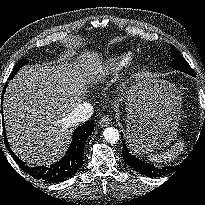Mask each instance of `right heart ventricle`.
<instances>
[{
	"instance_id": "obj_1",
	"label": "right heart ventricle",
	"mask_w": 205,
	"mask_h": 205,
	"mask_svg": "<svg viewBox=\"0 0 205 205\" xmlns=\"http://www.w3.org/2000/svg\"><path fill=\"white\" fill-rule=\"evenodd\" d=\"M132 57V53H120L112 55L101 61L96 71L98 73H105L122 69L130 63Z\"/></svg>"
}]
</instances>
